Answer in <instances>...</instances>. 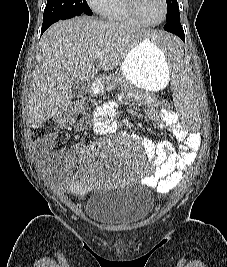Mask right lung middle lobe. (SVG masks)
Returning <instances> with one entry per match:
<instances>
[{"instance_id": "dd1d6c3e", "label": "right lung middle lobe", "mask_w": 227, "mask_h": 267, "mask_svg": "<svg viewBox=\"0 0 227 267\" xmlns=\"http://www.w3.org/2000/svg\"><path fill=\"white\" fill-rule=\"evenodd\" d=\"M81 14L92 15L86 0H48L43 14V22L68 19Z\"/></svg>"}]
</instances>
